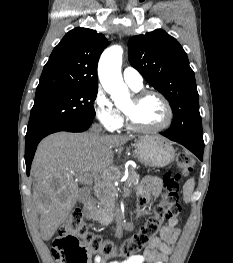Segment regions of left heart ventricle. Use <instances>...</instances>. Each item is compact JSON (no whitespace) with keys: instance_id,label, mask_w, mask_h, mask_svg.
I'll list each match as a JSON object with an SVG mask.
<instances>
[{"instance_id":"b2bd125f","label":"left heart ventricle","mask_w":233,"mask_h":263,"mask_svg":"<svg viewBox=\"0 0 233 263\" xmlns=\"http://www.w3.org/2000/svg\"><path fill=\"white\" fill-rule=\"evenodd\" d=\"M124 110L132 117L138 126L155 127L166 119V110L162 102L155 96H147L139 103H135L133 97L125 105Z\"/></svg>"}]
</instances>
